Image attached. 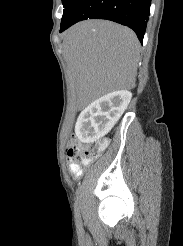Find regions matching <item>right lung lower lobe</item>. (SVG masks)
I'll return each mask as SVG.
<instances>
[{
  "mask_svg": "<svg viewBox=\"0 0 183 246\" xmlns=\"http://www.w3.org/2000/svg\"><path fill=\"white\" fill-rule=\"evenodd\" d=\"M151 0H80L60 32L86 19H107L133 29L142 42L150 15Z\"/></svg>",
  "mask_w": 183,
  "mask_h": 246,
  "instance_id": "obj_1",
  "label": "right lung lower lobe"
}]
</instances>
